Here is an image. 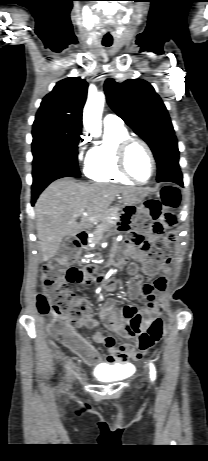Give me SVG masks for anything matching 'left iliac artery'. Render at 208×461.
<instances>
[{
	"label": "left iliac artery",
	"mask_w": 208,
	"mask_h": 461,
	"mask_svg": "<svg viewBox=\"0 0 208 461\" xmlns=\"http://www.w3.org/2000/svg\"><path fill=\"white\" fill-rule=\"evenodd\" d=\"M155 377H156L155 367L152 363H150V378L153 381L155 380Z\"/></svg>",
	"instance_id": "obj_1"
}]
</instances>
